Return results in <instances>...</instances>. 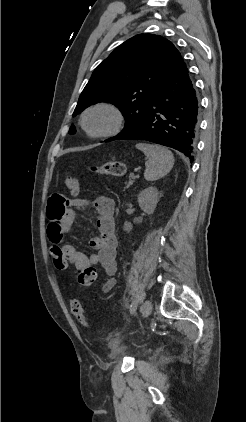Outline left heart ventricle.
Returning <instances> with one entry per match:
<instances>
[{
	"label": "left heart ventricle",
	"instance_id": "1",
	"mask_svg": "<svg viewBox=\"0 0 246 422\" xmlns=\"http://www.w3.org/2000/svg\"><path fill=\"white\" fill-rule=\"evenodd\" d=\"M111 120L112 117L107 111L96 110L87 116L86 125L91 131L97 132L107 128Z\"/></svg>",
	"mask_w": 246,
	"mask_h": 422
}]
</instances>
